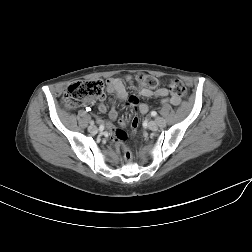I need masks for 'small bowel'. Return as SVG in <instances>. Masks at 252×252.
I'll use <instances>...</instances> for the list:
<instances>
[{"label": "small bowel", "mask_w": 252, "mask_h": 252, "mask_svg": "<svg viewBox=\"0 0 252 252\" xmlns=\"http://www.w3.org/2000/svg\"><path fill=\"white\" fill-rule=\"evenodd\" d=\"M125 81L132 87H133V77L128 75L125 78ZM106 84H107V91L110 94L115 95L119 100L122 101H127L128 105L130 106H137L138 111L142 114H146L149 110V107L146 103H138V99L136 96H128L126 87H125V82L124 80L120 79V78H108L106 80ZM139 93L141 96L143 97H158V98H164L163 99V103L167 104L170 103L172 105H178L181 103V98L175 96V95H171L169 98H166L169 95V92L166 88H158L156 90H151L149 88H144V87H140L139 88ZM98 110L101 113H106L108 111V108L105 104L101 103L98 106ZM109 116V122H104L102 119H97L98 123H100L101 125L105 126L107 128V130L110 133V139L112 141H116L118 144H122L120 142L117 141V139L114 136V128L112 125V121H115L118 117V114L116 112V110L112 109L109 111L108 113ZM125 123V119L124 118H120L119 119V124L120 125H124Z\"/></svg>", "instance_id": "obj_1"}]
</instances>
